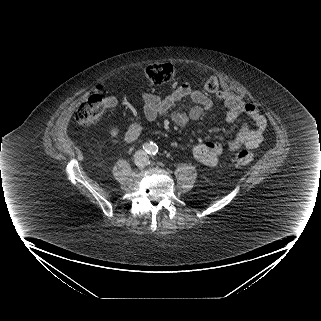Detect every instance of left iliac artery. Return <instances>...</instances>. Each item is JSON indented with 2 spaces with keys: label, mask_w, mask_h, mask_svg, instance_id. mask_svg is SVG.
<instances>
[{
  "label": "left iliac artery",
  "mask_w": 321,
  "mask_h": 321,
  "mask_svg": "<svg viewBox=\"0 0 321 321\" xmlns=\"http://www.w3.org/2000/svg\"><path fill=\"white\" fill-rule=\"evenodd\" d=\"M156 152H157V150H156V151H155V150H153V151H152V154H153V155H155V154H156Z\"/></svg>",
  "instance_id": "left-iliac-artery-1"
}]
</instances>
